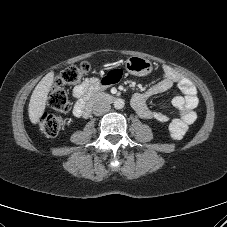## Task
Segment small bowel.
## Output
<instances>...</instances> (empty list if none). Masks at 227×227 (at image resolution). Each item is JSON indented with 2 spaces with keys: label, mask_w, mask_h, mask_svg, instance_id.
<instances>
[{
  "label": "small bowel",
  "mask_w": 227,
  "mask_h": 227,
  "mask_svg": "<svg viewBox=\"0 0 227 227\" xmlns=\"http://www.w3.org/2000/svg\"><path fill=\"white\" fill-rule=\"evenodd\" d=\"M164 77L147 90L135 93L131 104L136 114L146 120L155 119L161 122H168L170 115L166 112L153 111L147 106V99L153 95L168 91L174 84H177L182 95L172 99V106L178 110V118L171 120L169 124V135L174 140L181 139L188 130V126L196 119L195 108L198 105L197 90L192 81L177 73L172 67H163ZM122 76L121 70H113L101 80L89 79L73 90V95L77 99L74 107V115L81 116V109L85 99L92 93L98 92L116 83Z\"/></svg>",
  "instance_id": "obj_1"
}]
</instances>
